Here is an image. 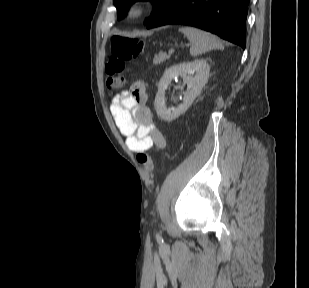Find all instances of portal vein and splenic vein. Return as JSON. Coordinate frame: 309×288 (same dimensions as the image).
<instances>
[{
  "mask_svg": "<svg viewBox=\"0 0 309 288\" xmlns=\"http://www.w3.org/2000/svg\"><path fill=\"white\" fill-rule=\"evenodd\" d=\"M168 53L169 55H172L174 53V49H170Z\"/></svg>",
  "mask_w": 309,
  "mask_h": 288,
  "instance_id": "portal-vein-and-splenic-vein-1",
  "label": "portal vein and splenic vein"
}]
</instances>
